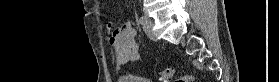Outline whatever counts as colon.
<instances>
[{
    "label": "colon",
    "mask_w": 279,
    "mask_h": 82,
    "mask_svg": "<svg viewBox=\"0 0 279 82\" xmlns=\"http://www.w3.org/2000/svg\"><path fill=\"white\" fill-rule=\"evenodd\" d=\"M175 70L172 67L166 68L161 75V82H169L174 74ZM193 76L191 74H185L184 76L180 77L178 82H192Z\"/></svg>",
    "instance_id": "obj_1"
}]
</instances>
